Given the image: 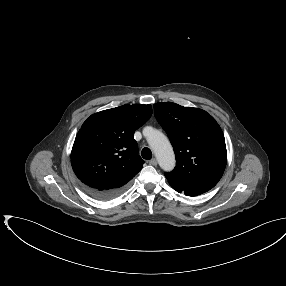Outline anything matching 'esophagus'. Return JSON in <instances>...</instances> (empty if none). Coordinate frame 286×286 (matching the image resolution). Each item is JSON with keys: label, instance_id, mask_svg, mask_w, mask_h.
I'll list each match as a JSON object with an SVG mask.
<instances>
[{"label": "esophagus", "instance_id": "34e87169", "mask_svg": "<svg viewBox=\"0 0 286 286\" xmlns=\"http://www.w3.org/2000/svg\"><path fill=\"white\" fill-rule=\"evenodd\" d=\"M149 163H150V165H152V166H156V165H157V160H156L155 158H153V159H151V160L149 161Z\"/></svg>", "mask_w": 286, "mask_h": 286}]
</instances>
